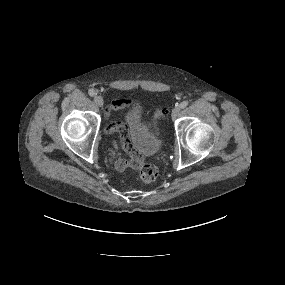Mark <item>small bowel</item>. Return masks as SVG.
<instances>
[{"instance_id": "1", "label": "small bowel", "mask_w": 285, "mask_h": 285, "mask_svg": "<svg viewBox=\"0 0 285 285\" xmlns=\"http://www.w3.org/2000/svg\"><path fill=\"white\" fill-rule=\"evenodd\" d=\"M132 105V101L129 100V99H116V100H113L110 105L106 108L105 110V114L107 115L111 110H119V109H124V108H127L129 106ZM115 125H120L123 129V131H125V127L120 124V123H116V124H113L109 127V131L110 132H114V129H113V126ZM125 140V138H124ZM129 160H124V159H120L117 161L116 163V168L118 171L120 172H124L126 171L128 168H130L131 166L129 165Z\"/></svg>"}]
</instances>
